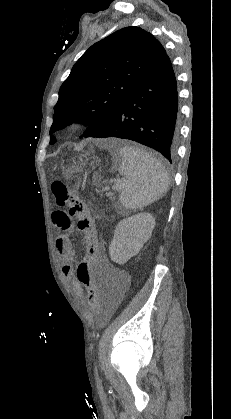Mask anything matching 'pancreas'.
Wrapping results in <instances>:
<instances>
[{
  "label": "pancreas",
  "mask_w": 231,
  "mask_h": 419,
  "mask_svg": "<svg viewBox=\"0 0 231 419\" xmlns=\"http://www.w3.org/2000/svg\"><path fill=\"white\" fill-rule=\"evenodd\" d=\"M107 195L111 198L113 194L109 192Z\"/></svg>",
  "instance_id": "obj_1"
}]
</instances>
